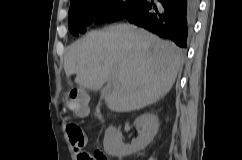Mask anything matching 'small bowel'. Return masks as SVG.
Wrapping results in <instances>:
<instances>
[{
	"mask_svg": "<svg viewBox=\"0 0 242 160\" xmlns=\"http://www.w3.org/2000/svg\"><path fill=\"white\" fill-rule=\"evenodd\" d=\"M88 112H89V111H88V109H87L85 112H76V115H77V116H80V117H84V116H87V115H88ZM73 146H74V148L77 150V160H82L81 156H82V154L85 153V152L81 151L80 148H79L77 145H74V144H73Z\"/></svg>",
	"mask_w": 242,
	"mask_h": 160,
	"instance_id": "small-bowel-1",
	"label": "small bowel"
}]
</instances>
